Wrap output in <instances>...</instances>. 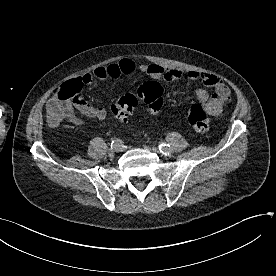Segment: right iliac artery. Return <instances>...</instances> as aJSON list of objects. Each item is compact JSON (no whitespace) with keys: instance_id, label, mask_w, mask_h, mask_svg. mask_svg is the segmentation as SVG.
Wrapping results in <instances>:
<instances>
[{"instance_id":"obj_1","label":"right iliac artery","mask_w":276,"mask_h":276,"mask_svg":"<svg viewBox=\"0 0 276 276\" xmlns=\"http://www.w3.org/2000/svg\"><path fill=\"white\" fill-rule=\"evenodd\" d=\"M122 143L123 142L120 139L114 138V139H112V142H111V148L112 147H120L123 145Z\"/></svg>"}]
</instances>
